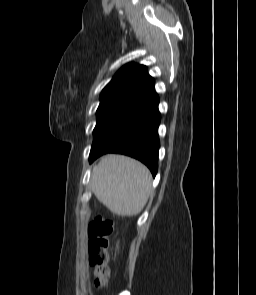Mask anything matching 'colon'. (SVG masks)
<instances>
[{
    "instance_id": "colon-1",
    "label": "colon",
    "mask_w": 256,
    "mask_h": 295,
    "mask_svg": "<svg viewBox=\"0 0 256 295\" xmlns=\"http://www.w3.org/2000/svg\"><path fill=\"white\" fill-rule=\"evenodd\" d=\"M113 220L107 217H96L88 225V260L94 267V287L104 292L110 276L109 248L113 233Z\"/></svg>"
}]
</instances>
